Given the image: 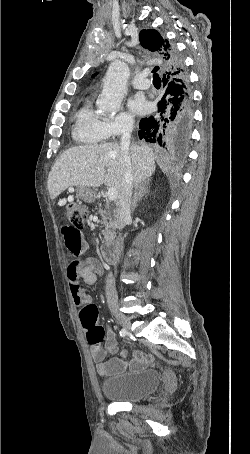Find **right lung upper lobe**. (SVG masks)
<instances>
[{
	"instance_id": "1",
	"label": "right lung upper lobe",
	"mask_w": 250,
	"mask_h": 454,
	"mask_svg": "<svg viewBox=\"0 0 250 454\" xmlns=\"http://www.w3.org/2000/svg\"><path fill=\"white\" fill-rule=\"evenodd\" d=\"M140 44L151 51L154 57L161 61L160 69L164 73H172L171 56L169 55L170 43L154 29L142 30L139 34Z\"/></svg>"
}]
</instances>
